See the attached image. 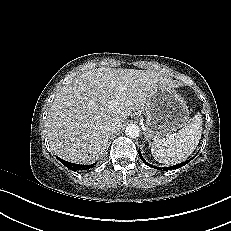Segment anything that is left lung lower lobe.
<instances>
[{"label": "left lung lower lobe", "instance_id": "left-lung-lower-lobe-1", "mask_svg": "<svg viewBox=\"0 0 231 231\" xmlns=\"http://www.w3.org/2000/svg\"><path fill=\"white\" fill-rule=\"evenodd\" d=\"M139 156H140L141 160H142L146 165H148V166H150V167H152V168H154V169L161 170V171H168V170L178 169V168L184 166L185 164H187L188 162H190V161L193 159V158H192V159H190V160H187V161H185V162H182V163H180V164H177V165H174V166H171V167H163V168H162V167L152 166L151 164H148V163L144 160V158L142 157L140 151H139Z\"/></svg>", "mask_w": 231, "mask_h": 231}]
</instances>
